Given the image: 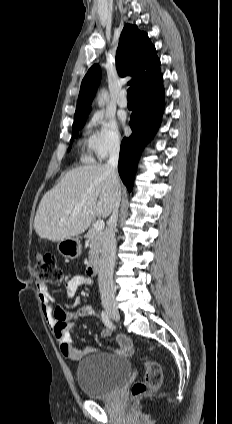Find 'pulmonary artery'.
Masks as SVG:
<instances>
[{
	"label": "pulmonary artery",
	"instance_id": "1",
	"mask_svg": "<svg viewBox=\"0 0 232 424\" xmlns=\"http://www.w3.org/2000/svg\"><path fill=\"white\" fill-rule=\"evenodd\" d=\"M117 103L119 105V107L121 108H126L128 106V101L126 98V92L122 91L117 99Z\"/></svg>",
	"mask_w": 232,
	"mask_h": 424
}]
</instances>
